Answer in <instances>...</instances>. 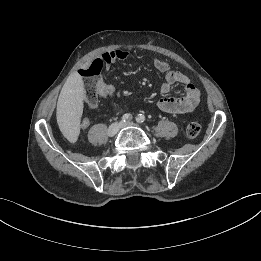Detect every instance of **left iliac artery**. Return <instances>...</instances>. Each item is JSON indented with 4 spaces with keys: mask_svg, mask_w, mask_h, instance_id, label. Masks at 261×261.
Returning <instances> with one entry per match:
<instances>
[{
    "mask_svg": "<svg viewBox=\"0 0 261 261\" xmlns=\"http://www.w3.org/2000/svg\"><path fill=\"white\" fill-rule=\"evenodd\" d=\"M136 121L139 122V123H143L145 121V116L143 114H139L136 117Z\"/></svg>",
    "mask_w": 261,
    "mask_h": 261,
    "instance_id": "44dca946",
    "label": "left iliac artery"
}]
</instances>
